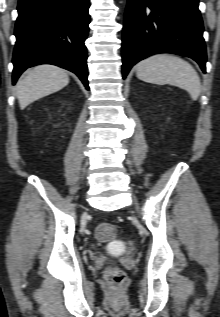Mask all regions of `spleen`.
I'll list each match as a JSON object with an SVG mask.
<instances>
[{
	"label": "spleen",
	"mask_w": 220,
	"mask_h": 317,
	"mask_svg": "<svg viewBox=\"0 0 220 317\" xmlns=\"http://www.w3.org/2000/svg\"><path fill=\"white\" fill-rule=\"evenodd\" d=\"M138 79L154 84H170L186 90L196 100L201 92L200 78L190 63L178 56L161 53L136 65Z\"/></svg>",
	"instance_id": "1"
}]
</instances>
